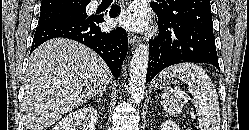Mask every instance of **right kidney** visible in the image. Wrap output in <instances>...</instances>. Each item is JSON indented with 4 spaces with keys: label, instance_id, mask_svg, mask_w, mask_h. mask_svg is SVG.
Wrapping results in <instances>:
<instances>
[{
    "label": "right kidney",
    "instance_id": "1",
    "mask_svg": "<svg viewBox=\"0 0 249 130\" xmlns=\"http://www.w3.org/2000/svg\"><path fill=\"white\" fill-rule=\"evenodd\" d=\"M97 116L93 107L84 106L62 118L53 130H76V126L80 125H83L84 130H95Z\"/></svg>",
    "mask_w": 249,
    "mask_h": 130
}]
</instances>
